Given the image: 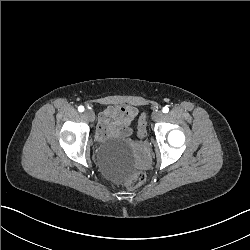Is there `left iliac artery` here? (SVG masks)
Wrapping results in <instances>:
<instances>
[{
    "mask_svg": "<svg viewBox=\"0 0 250 250\" xmlns=\"http://www.w3.org/2000/svg\"><path fill=\"white\" fill-rule=\"evenodd\" d=\"M163 113H168L169 112V108L167 106H165L163 109H162Z\"/></svg>",
    "mask_w": 250,
    "mask_h": 250,
    "instance_id": "obj_1",
    "label": "left iliac artery"
}]
</instances>
